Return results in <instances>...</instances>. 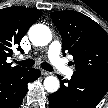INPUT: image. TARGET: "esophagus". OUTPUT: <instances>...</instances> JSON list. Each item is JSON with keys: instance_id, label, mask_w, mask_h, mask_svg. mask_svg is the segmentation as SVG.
<instances>
[{"instance_id": "34e87169", "label": "esophagus", "mask_w": 108, "mask_h": 108, "mask_svg": "<svg viewBox=\"0 0 108 108\" xmlns=\"http://www.w3.org/2000/svg\"><path fill=\"white\" fill-rule=\"evenodd\" d=\"M42 75H51V72L45 71V70H41Z\"/></svg>"}]
</instances>
